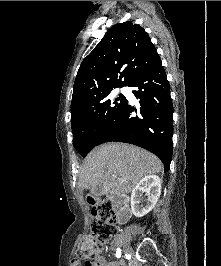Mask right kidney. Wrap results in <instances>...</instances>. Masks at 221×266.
<instances>
[{"label": "right kidney", "instance_id": "right-kidney-1", "mask_svg": "<svg viewBox=\"0 0 221 266\" xmlns=\"http://www.w3.org/2000/svg\"><path fill=\"white\" fill-rule=\"evenodd\" d=\"M146 192L148 199L144 205L142 194ZM161 194V179L157 175H148L139 181L131 193V209L136 217H143L156 205Z\"/></svg>", "mask_w": 221, "mask_h": 266}]
</instances>
